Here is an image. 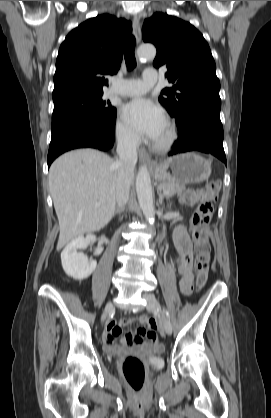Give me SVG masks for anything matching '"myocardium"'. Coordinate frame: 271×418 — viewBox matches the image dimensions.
Returning <instances> with one entry per match:
<instances>
[{
  "label": "myocardium",
  "mask_w": 271,
  "mask_h": 418,
  "mask_svg": "<svg viewBox=\"0 0 271 418\" xmlns=\"http://www.w3.org/2000/svg\"><path fill=\"white\" fill-rule=\"evenodd\" d=\"M168 133L167 136L162 141H155L153 143V149L157 152H165L168 151L177 138V129L174 123L171 121H167L166 123Z\"/></svg>",
  "instance_id": "f54148a6"
}]
</instances>
